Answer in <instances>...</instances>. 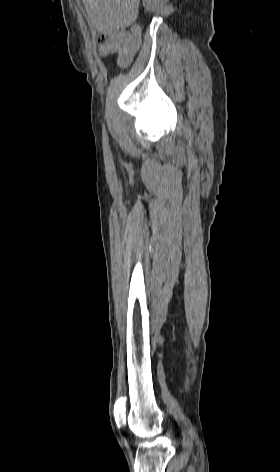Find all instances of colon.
I'll use <instances>...</instances> for the list:
<instances>
[{
	"label": "colon",
	"mask_w": 280,
	"mask_h": 472,
	"mask_svg": "<svg viewBox=\"0 0 280 472\" xmlns=\"http://www.w3.org/2000/svg\"><path fill=\"white\" fill-rule=\"evenodd\" d=\"M110 40V36L106 33H100L96 36V42L98 44H106ZM130 63V59L127 56H121L119 57V64L121 66H126Z\"/></svg>",
	"instance_id": "5ec220e1"
}]
</instances>
